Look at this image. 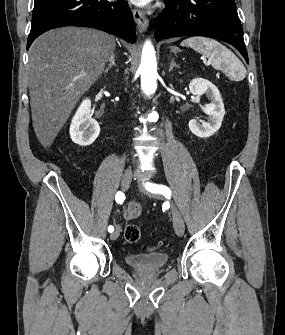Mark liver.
<instances>
[{"mask_svg": "<svg viewBox=\"0 0 285 335\" xmlns=\"http://www.w3.org/2000/svg\"><path fill=\"white\" fill-rule=\"evenodd\" d=\"M115 48L114 36L92 28L50 30L33 42L27 78L33 128L43 148L54 142Z\"/></svg>", "mask_w": 285, "mask_h": 335, "instance_id": "6515ba94", "label": "liver"}]
</instances>
